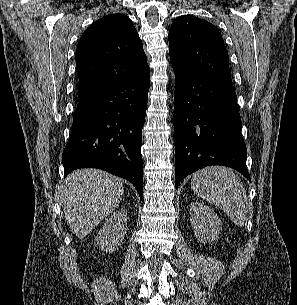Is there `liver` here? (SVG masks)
Here are the masks:
<instances>
[{"label":"liver","instance_id":"liver-1","mask_svg":"<svg viewBox=\"0 0 297 305\" xmlns=\"http://www.w3.org/2000/svg\"><path fill=\"white\" fill-rule=\"evenodd\" d=\"M60 192L67 224L78 238H84L118 207L124 188L120 178L86 168L69 174Z\"/></svg>","mask_w":297,"mask_h":305}]
</instances>
